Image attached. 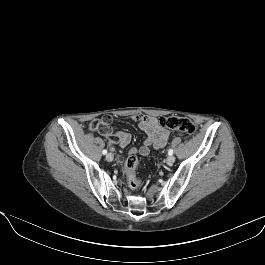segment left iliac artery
Returning a JSON list of instances; mask_svg holds the SVG:
<instances>
[{
	"label": "left iliac artery",
	"mask_w": 265,
	"mask_h": 265,
	"mask_svg": "<svg viewBox=\"0 0 265 265\" xmlns=\"http://www.w3.org/2000/svg\"><path fill=\"white\" fill-rule=\"evenodd\" d=\"M168 154L169 155H172L173 154V150L171 148L168 150Z\"/></svg>",
	"instance_id": "1"
}]
</instances>
